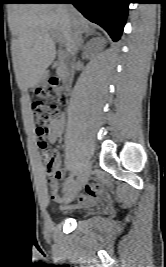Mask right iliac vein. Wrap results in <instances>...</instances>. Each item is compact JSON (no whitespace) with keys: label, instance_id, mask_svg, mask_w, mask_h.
I'll return each mask as SVG.
<instances>
[{"label":"right iliac vein","instance_id":"63e3f726","mask_svg":"<svg viewBox=\"0 0 166 267\" xmlns=\"http://www.w3.org/2000/svg\"><path fill=\"white\" fill-rule=\"evenodd\" d=\"M89 174H90V165L86 164L83 171L78 175L76 180L72 183L71 187L69 188L65 197V203L71 202L78 195L81 188L87 181Z\"/></svg>","mask_w":166,"mask_h":267}]
</instances>
